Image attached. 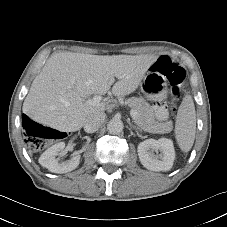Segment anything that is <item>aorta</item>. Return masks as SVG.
<instances>
[{"label": "aorta", "instance_id": "1", "mask_svg": "<svg viewBox=\"0 0 227 227\" xmlns=\"http://www.w3.org/2000/svg\"><path fill=\"white\" fill-rule=\"evenodd\" d=\"M124 125L120 119L113 118L107 124V130L110 134H119L123 131Z\"/></svg>", "mask_w": 227, "mask_h": 227}]
</instances>
